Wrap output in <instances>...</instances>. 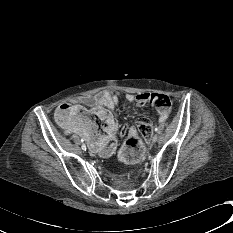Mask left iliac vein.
<instances>
[{"mask_svg":"<svg viewBox=\"0 0 233 233\" xmlns=\"http://www.w3.org/2000/svg\"><path fill=\"white\" fill-rule=\"evenodd\" d=\"M158 140V136L157 135H154L153 138H152V143H156Z\"/></svg>","mask_w":233,"mask_h":233,"instance_id":"obj_1","label":"left iliac vein"}]
</instances>
